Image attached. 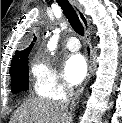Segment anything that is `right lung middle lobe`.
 Here are the masks:
<instances>
[{
    "instance_id": "1",
    "label": "right lung middle lobe",
    "mask_w": 122,
    "mask_h": 123,
    "mask_svg": "<svg viewBox=\"0 0 122 123\" xmlns=\"http://www.w3.org/2000/svg\"><path fill=\"white\" fill-rule=\"evenodd\" d=\"M11 90L13 94L28 90V60L10 70Z\"/></svg>"
}]
</instances>
